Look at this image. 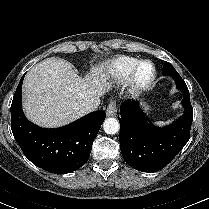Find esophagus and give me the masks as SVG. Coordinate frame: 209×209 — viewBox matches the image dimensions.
Here are the masks:
<instances>
[{
  "label": "esophagus",
  "mask_w": 209,
  "mask_h": 209,
  "mask_svg": "<svg viewBox=\"0 0 209 209\" xmlns=\"http://www.w3.org/2000/svg\"><path fill=\"white\" fill-rule=\"evenodd\" d=\"M116 112H117V104L115 101H112L107 106L106 115L107 116H116Z\"/></svg>",
  "instance_id": "1"
}]
</instances>
